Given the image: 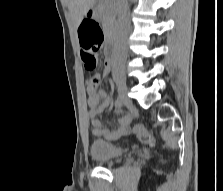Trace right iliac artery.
I'll list each match as a JSON object with an SVG mask.
<instances>
[{
  "label": "right iliac artery",
  "mask_w": 223,
  "mask_h": 191,
  "mask_svg": "<svg viewBox=\"0 0 223 191\" xmlns=\"http://www.w3.org/2000/svg\"><path fill=\"white\" fill-rule=\"evenodd\" d=\"M115 105L119 108H121L123 106V102L122 100L120 99V97L117 98L116 102H115Z\"/></svg>",
  "instance_id": "obj_1"
}]
</instances>
